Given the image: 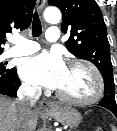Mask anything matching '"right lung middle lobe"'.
Here are the masks:
<instances>
[{"label": "right lung middle lobe", "mask_w": 117, "mask_h": 131, "mask_svg": "<svg viewBox=\"0 0 117 131\" xmlns=\"http://www.w3.org/2000/svg\"><path fill=\"white\" fill-rule=\"evenodd\" d=\"M3 52H0L2 54ZM6 63L0 62V76H6L11 73L12 69H8L5 67Z\"/></svg>", "instance_id": "obj_1"}]
</instances>
